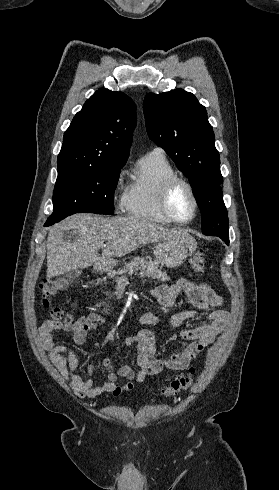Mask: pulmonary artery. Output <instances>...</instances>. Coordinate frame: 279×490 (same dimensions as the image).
<instances>
[{
    "label": "pulmonary artery",
    "mask_w": 279,
    "mask_h": 490,
    "mask_svg": "<svg viewBox=\"0 0 279 490\" xmlns=\"http://www.w3.org/2000/svg\"><path fill=\"white\" fill-rule=\"evenodd\" d=\"M151 152L160 155H165V152L161 147H154Z\"/></svg>",
    "instance_id": "1"
}]
</instances>
